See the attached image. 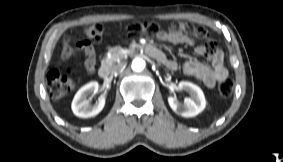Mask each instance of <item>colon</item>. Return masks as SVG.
I'll use <instances>...</instances> for the list:
<instances>
[{
	"instance_id": "obj_1",
	"label": "colon",
	"mask_w": 283,
	"mask_h": 162,
	"mask_svg": "<svg viewBox=\"0 0 283 162\" xmlns=\"http://www.w3.org/2000/svg\"><path fill=\"white\" fill-rule=\"evenodd\" d=\"M128 33L131 36H158L161 32V26L155 22L147 23H133L127 28ZM87 42H98L101 40L103 35V26L100 23H93L86 26L83 30ZM73 55V48L66 42L63 46L61 58L64 61L69 60ZM47 85L50 94L53 98L58 99L69 93L74 87V81L67 74L58 70H51L47 75ZM234 89V83L231 80H224L218 85L219 94L222 97L231 96Z\"/></svg>"
}]
</instances>
